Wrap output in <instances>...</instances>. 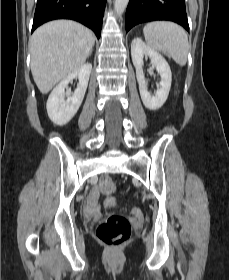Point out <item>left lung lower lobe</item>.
<instances>
[{"label":"left lung lower lobe","instance_id":"left-lung-lower-lobe-1","mask_svg":"<svg viewBox=\"0 0 229 280\" xmlns=\"http://www.w3.org/2000/svg\"><path fill=\"white\" fill-rule=\"evenodd\" d=\"M169 20L189 31L185 0H130L125 17L126 32L149 21Z\"/></svg>","mask_w":229,"mask_h":280}]
</instances>
